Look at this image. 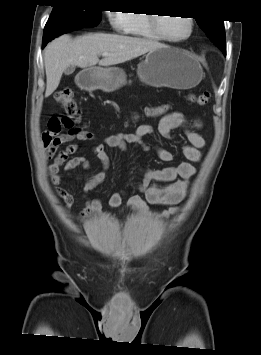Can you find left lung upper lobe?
<instances>
[{
  "label": "left lung upper lobe",
  "mask_w": 261,
  "mask_h": 355,
  "mask_svg": "<svg viewBox=\"0 0 261 355\" xmlns=\"http://www.w3.org/2000/svg\"><path fill=\"white\" fill-rule=\"evenodd\" d=\"M196 21L210 40L226 55L224 21L204 18H196Z\"/></svg>",
  "instance_id": "1"
}]
</instances>
